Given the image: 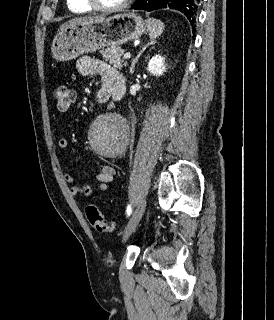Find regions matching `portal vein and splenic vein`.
<instances>
[{"instance_id":"1","label":"portal vein and splenic vein","mask_w":274,"mask_h":320,"mask_svg":"<svg viewBox=\"0 0 274 320\" xmlns=\"http://www.w3.org/2000/svg\"><path fill=\"white\" fill-rule=\"evenodd\" d=\"M123 58L124 60H128V58H131L130 52H127V54H124Z\"/></svg>"}]
</instances>
